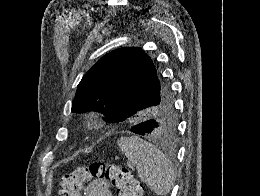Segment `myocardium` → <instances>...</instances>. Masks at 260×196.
Returning a JSON list of instances; mask_svg holds the SVG:
<instances>
[{"mask_svg": "<svg viewBox=\"0 0 260 196\" xmlns=\"http://www.w3.org/2000/svg\"><path fill=\"white\" fill-rule=\"evenodd\" d=\"M88 130L98 131L103 127V116L100 112L90 111L87 114Z\"/></svg>", "mask_w": 260, "mask_h": 196, "instance_id": "myocardium-1", "label": "myocardium"}]
</instances>
